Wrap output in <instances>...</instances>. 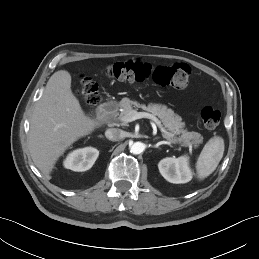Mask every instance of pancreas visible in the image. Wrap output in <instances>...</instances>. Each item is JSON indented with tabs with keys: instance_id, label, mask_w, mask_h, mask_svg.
I'll return each mask as SVG.
<instances>
[{
	"instance_id": "cf45deb5",
	"label": "pancreas",
	"mask_w": 259,
	"mask_h": 259,
	"mask_svg": "<svg viewBox=\"0 0 259 259\" xmlns=\"http://www.w3.org/2000/svg\"><path fill=\"white\" fill-rule=\"evenodd\" d=\"M118 106L122 109V112L120 114L113 112V116H118L120 120L124 115L133 110V108H142L152 115L157 116L167 130H169L168 134H164V137L171 143L180 144L184 147L193 146L197 148L199 144L203 142V137L200 133L194 131L189 132L183 129L185 124L182 122V118L166 105L149 103L146 106L125 97L118 103Z\"/></svg>"
}]
</instances>
